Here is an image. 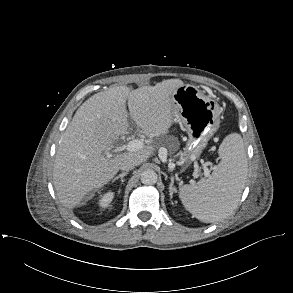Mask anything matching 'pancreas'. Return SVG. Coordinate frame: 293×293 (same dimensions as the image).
<instances>
[{"label":"pancreas","mask_w":293,"mask_h":293,"mask_svg":"<svg viewBox=\"0 0 293 293\" xmlns=\"http://www.w3.org/2000/svg\"><path fill=\"white\" fill-rule=\"evenodd\" d=\"M176 150H177V147H175V148L170 147V151H171V152H174V151H176Z\"/></svg>","instance_id":"pancreas-1"}]
</instances>
